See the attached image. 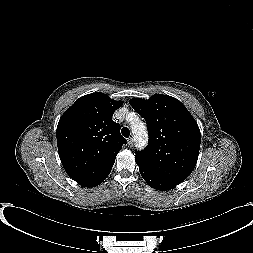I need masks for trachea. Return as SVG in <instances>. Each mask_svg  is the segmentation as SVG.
Returning <instances> with one entry per match:
<instances>
[{
    "label": "trachea",
    "mask_w": 253,
    "mask_h": 253,
    "mask_svg": "<svg viewBox=\"0 0 253 253\" xmlns=\"http://www.w3.org/2000/svg\"><path fill=\"white\" fill-rule=\"evenodd\" d=\"M121 133H122V135H123L124 137H126V138H128V137L130 136V130H129V128H127V127H123V128L121 129Z\"/></svg>",
    "instance_id": "1"
}]
</instances>
